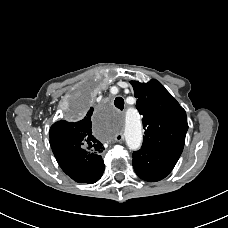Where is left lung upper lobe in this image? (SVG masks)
<instances>
[{"label":"left lung upper lobe","instance_id":"obj_1","mask_svg":"<svg viewBox=\"0 0 228 228\" xmlns=\"http://www.w3.org/2000/svg\"><path fill=\"white\" fill-rule=\"evenodd\" d=\"M136 107L143 115L145 135L142 147L181 154L188 123L185 110L157 80L131 81Z\"/></svg>","mask_w":228,"mask_h":228}]
</instances>
